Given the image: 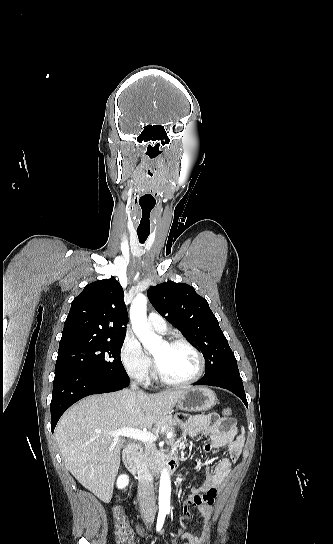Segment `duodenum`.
<instances>
[{"label": "duodenum", "mask_w": 333, "mask_h": 544, "mask_svg": "<svg viewBox=\"0 0 333 544\" xmlns=\"http://www.w3.org/2000/svg\"><path fill=\"white\" fill-rule=\"evenodd\" d=\"M138 450L137 444H130L124 451L125 465L138 481H149L158 473L173 472L178 467L177 455L171 453L163 459L156 469L148 470L139 462L137 458Z\"/></svg>", "instance_id": "1"}]
</instances>
